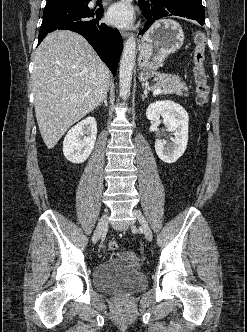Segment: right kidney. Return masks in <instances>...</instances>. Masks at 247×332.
<instances>
[{"instance_id":"1","label":"right kidney","mask_w":247,"mask_h":332,"mask_svg":"<svg viewBox=\"0 0 247 332\" xmlns=\"http://www.w3.org/2000/svg\"><path fill=\"white\" fill-rule=\"evenodd\" d=\"M97 137V123L94 117H87L73 126L63 142L65 158L72 163H83L90 156Z\"/></svg>"}]
</instances>
